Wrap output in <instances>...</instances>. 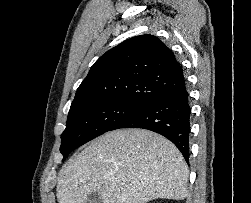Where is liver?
Masks as SVG:
<instances>
[{"label": "liver", "mask_w": 251, "mask_h": 203, "mask_svg": "<svg viewBox=\"0 0 251 203\" xmlns=\"http://www.w3.org/2000/svg\"><path fill=\"white\" fill-rule=\"evenodd\" d=\"M189 170L169 140L143 129L114 130L95 139L62 168L59 203H87L97 192L103 203L183 200Z\"/></svg>", "instance_id": "1"}]
</instances>
